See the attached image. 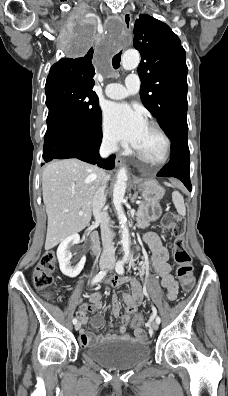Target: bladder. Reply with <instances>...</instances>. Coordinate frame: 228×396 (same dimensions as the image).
Listing matches in <instances>:
<instances>
[{"mask_svg":"<svg viewBox=\"0 0 228 396\" xmlns=\"http://www.w3.org/2000/svg\"><path fill=\"white\" fill-rule=\"evenodd\" d=\"M150 347L143 342L112 339L92 345L84 354L107 369L123 370L133 368L150 357Z\"/></svg>","mask_w":228,"mask_h":396,"instance_id":"bladder-1","label":"bladder"}]
</instances>
